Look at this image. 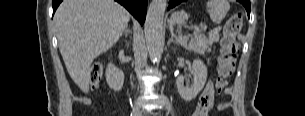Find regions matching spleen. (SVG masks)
I'll use <instances>...</instances> for the list:
<instances>
[{
  "mask_svg": "<svg viewBox=\"0 0 305 116\" xmlns=\"http://www.w3.org/2000/svg\"><path fill=\"white\" fill-rule=\"evenodd\" d=\"M206 7L210 13L211 20L216 24L222 22L229 10V5L225 0H210L207 2Z\"/></svg>",
  "mask_w": 305,
  "mask_h": 116,
  "instance_id": "spleen-1",
  "label": "spleen"
}]
</instances>
